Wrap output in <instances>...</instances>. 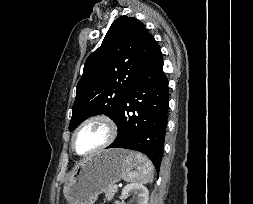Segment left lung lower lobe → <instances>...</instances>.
I'll list each match as a JSON object with an SVG mask.
<instances>
[{"label": "left lung lower lobe", "mask_w": 253, "mask_h": 204, "mask_svg": "<svg viewBox=\"0 0 253 204\" xmlns=\"http://www.w3.org/2000/svg\"><path fill=\"white\" fill-rule=\"evenodd\" d=\"M168 79L157 45L125 100L118 119V135L107 148H125L146 154L159 171L164 151L169 105Z\"/></svg>", "instance_id": "left-lung-lower-lobe-1"}]
</instances>
